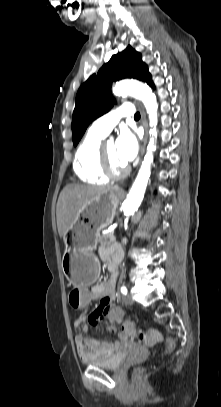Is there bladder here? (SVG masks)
<instances>
[{
  "instance_id": "1",
  "label": "bladder",
  "mask_w": 221,
  "mask_h": 407,
  "mask_svg": "<svg viewBox=\"0 0 221 407\" xmlns=\"http://www.w3.org/2000/svg\"><path fill=\"white\" fill-rule=\"evenodd\" d=\"M125 361V355L119 352L114 353L113 355L98 360L87 361L86 364L92 367H98L108 370H117L119 369Z\"/></svg>"
}]
</instances>
